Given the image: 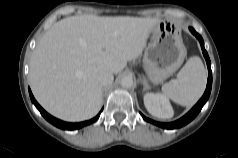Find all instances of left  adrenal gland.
<instances>
[{
    "instance_id": "obj_1",
    "label": "left adrenal gland",
    "mask_w": 238,
    "mask_h": 158,
    "mask_svg": "<svg viewBox=\"0 0 238 158\" xmlns=\"http://www.w3.org/2000/svg\"><path fill=\"white\" fill-rule=\"evenodd\" d=\"M143 85H144L143 90L146 91L149 88V86L145 82L143 83Z\"/></svg>"
}]
</instances>
